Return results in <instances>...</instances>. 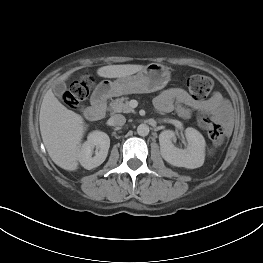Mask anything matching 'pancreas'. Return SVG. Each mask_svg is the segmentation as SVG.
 <instances>
[{"label": "pancreas", "mask_w": 263, "mask_h": 263, "mask_svg": "<svg viewBox=\"0 0 263 263\" xmlns=\"http://www.w3.org/2000/svg\"><path fill=\"white\" fill-rule=\"evenodd\" d=\"M108 110L111 113H130L134 112V109L130 107L129 101L127 97H121L117 98L115 100H112L109 104Z\"/></svg>", "instance_id": "pancreas-1"}]
</instances>
